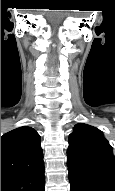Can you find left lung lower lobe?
<instances>
[{
    "instance_id": "left-lung-lower-lobe-1",
    "label": "left lung lower lobe",
    "mask_w": 115,
    "mask_h": 191,
    "mask_svg": "<svg viewBox=\"0 0 115 191\" xmlns=\"http://www.w3.org/2000/svg\"><path fill=\"white\" fill-rule=\"evenodd\" d=\"M71 191H115V180L68 166Z\"/></svg>"
}]
</instances>
